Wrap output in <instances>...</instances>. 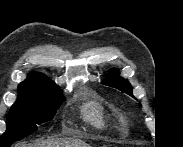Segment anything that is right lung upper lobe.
Wrapping results in <instances>:
<instances>
[{
  "label": "right lung upper lobe",
  "instance_id": "obj_1",
  "mask_svg": "<svg viewBox=\"0 0 183 147\" xmlns=\"http://www.w3.org/2000/svg\"><path fill=\"white\" fill-rule=\"evenodd\" d=\"M21 89L58 90L60 88L44 74L32 72L29 74L28 78L18 86V90Z\"/></svg>",
  "mask_w": 183,
  "mask_h": 147
}]
</instances>
